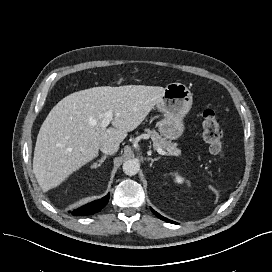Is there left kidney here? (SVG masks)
<instances>
[{"instance_id":"obj_1","label":"left kidney","mask_w":272,"mask_h":272,"mask_svg":"<svg viewBox=\"0 0 272 272\" xmlns=\"http://www.w3.org/2000/svg\"><path fill=\"white\" fill-rule=\"evenodd\" d=\"M174 177V181L178 184H182L184 182V178L179 176L177 173L172 174Z\"/></svg>"}]
</instances>
